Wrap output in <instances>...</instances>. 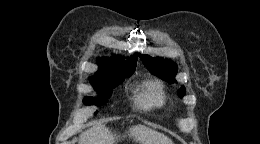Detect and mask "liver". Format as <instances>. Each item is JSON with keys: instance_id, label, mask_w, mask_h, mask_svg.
Returning a JSON list of instances; mask_svg holds the SVG:
<instances>
[{"instance_id": "1", "label": "liver", "mask_w": 260, "mask_h": 144, "mask_svg": "<svg viewBox=\"0 0 260 144\" xmlns=\"http://www.w3.org/2000/svg\"><path fill=\"white\" fill-rule=\"evenodd\" d=\"M128 136L139 144H174L169 137L144 125L130 127ZM118 139L119 135L113 134L105 125L97 124L80 135V144H116Z\"/></svg>"}]
</instances>
